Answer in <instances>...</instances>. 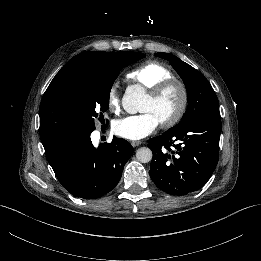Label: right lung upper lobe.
I'll use <instances>...</instances> for the list:
<instances>
[{"label": "right lung upper lobe", "mask_w": 261, "mask_h": 261, "mask_svg": "<svg viewBox=\"0 0 261 261\" xmlns=\"http://www.w3.org/2000/svg\"><path fill=\"white\" fill-rule=\"evenodd\" d=\"M121 52H83L70 61L53 78L40 104V133H50L63 140L76 135L79 111L74 96L78 77L90 70L116 63Z\"/></svg>", "instance_id": "obj_1"}]
</instances>
